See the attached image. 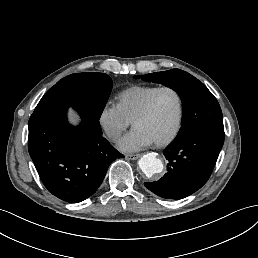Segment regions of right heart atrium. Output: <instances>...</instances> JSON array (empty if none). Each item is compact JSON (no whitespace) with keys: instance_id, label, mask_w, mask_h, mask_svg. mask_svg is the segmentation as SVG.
Segmentation results:
<instances>
[{"instance_id":"right-heart-atrium-1","label":"right heart atrium","mask_w":258,"mask_h":258,"mask_svg":"<svg viewBox=\"0 0 258 258\" xmlns=\"http://www.w3.org/2000/svg\"><path fill=\"white\" fill-rule=\"evenodd\" d=\"M99 124L107 136L116 138L128 128L130 123L116 105H110L102 109Z\"/></svg>"}]
</instances>
